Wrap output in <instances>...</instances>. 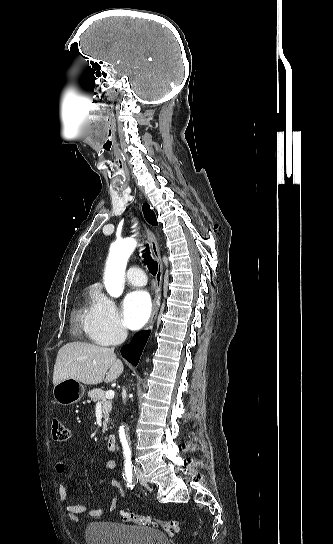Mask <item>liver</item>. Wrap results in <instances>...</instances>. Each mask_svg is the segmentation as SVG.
I'll use <instances>...</instances> for the list:
<instances>
[{
  "mask_svg": "<svg viewBox=\"0 0 333 544\" xmlns=\"http://www.w3.org/2000/svg\"><path fill=\"white\" fill-rule=\"evenodd\" d=\"M123 369V363L117 359L113 349L85 342H71L58 351L53 384L69 378L88 385L103 381L109 383L116 380Z\"/></svg>",
  "mask_w": 333,
  "mask_h": 544,
  "instance_id": "1",
  "label": "liver"
}]
</instances>
